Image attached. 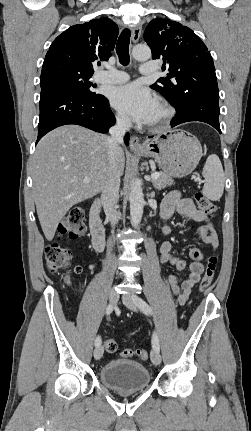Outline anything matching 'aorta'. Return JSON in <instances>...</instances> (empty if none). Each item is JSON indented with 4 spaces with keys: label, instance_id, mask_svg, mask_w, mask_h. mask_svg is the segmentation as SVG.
<instances>
[{
    "label": "aorta",
    "instance_id": "762f6f07",
    "mask_svg": "<svg viewBox=\"0 0 251 431\" xmlns=\"http://www.w3.org/2000/svg\"><path fill=\"white\" fill-rule=\"evenodd\" d=\"M132 56L136 60H148L151 57V50L146 45H137L132 49ZM129 202L131 224L136 227L141 222L145 203L141 185L137 180L132 181Z\"/></svg>",
    "mask_w": 251,
    "mask_h": 431
}]
</instances>
